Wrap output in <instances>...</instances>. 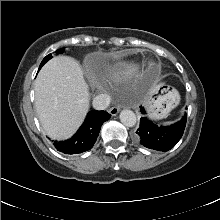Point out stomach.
I'll return each instance as SVG.
<instances>
[{
	"mask_svg": "<svg viewBox=\"0 0 220 220\" xmlns=\"http://www.w3.org/2000/svg\"><path fill=\"white\" fill-rule=\"evenodd\" d=\"M155 92L157 93L156 98L148 102L150 116L153 119H162L177 106L180 97L178 92L169 86L160 85Z\"/></svg>",
	"mask_w": 220,
	"mask_h": 220,
	"instance_id": "0dacf381",
	"label": "stomach"
}]
</instances>
